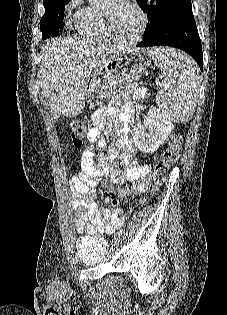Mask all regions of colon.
Instances as JSON below:
<instances>
[{"mask_svg": "<svg viewBox=\"0 0 227 315\" xmlns=\"http://www.w3.org/2000/svg\"><path fill=\"white\" fill-rule=\"evenodd\" d=\"M90 131L89 124L84 119H76L71 123L70 136L73 145L80 147L83 144V140L88 136ZM181 135L179 133L171 134L168 145L165 151L162 153L160 161L156 164L152 174V185L148 190L147 195L141 198V202L145 203L148 199L154 196L160 186L164 183L169 169L177 162L181 152ZM102 199L106 205L112 209L117 210L121 216L122 214L118 210V202L115 199L114 193L111 190H105Z\"/></svg>", "mask_w": 227, "mask_h": 315, "instance_id": "1", "label": "colon"}]
</instances>
